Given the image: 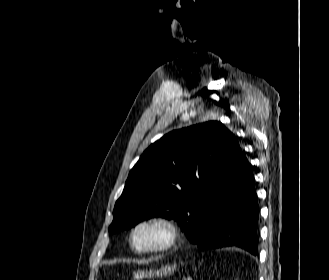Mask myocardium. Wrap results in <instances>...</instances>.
Returning <instances> with one entry per match:
<instances>
[{"mask_svg":"<svg viewBox=\"0 0 329 280\" xmlns=\"http://www.w3.org/2000/svg\"><path fill=\"white\" fill-rule=\"evenodd\" d=\"M148 225H156L161 227L165 232L164 240L154 246L146 248L136 247L134 244V235L142 227ZM179 237V229L176 223L169 217L164 215H153L139 220L131 228L129 233V245L133 251L139 254H157L170 250L177 242Z\"/></svg>","mask_w":329,"mask_h":280,"instance_id":"myocardium-1","label":"myocardium"}]
</instances>
